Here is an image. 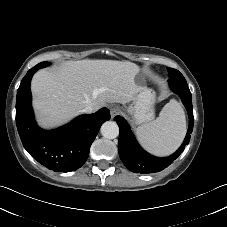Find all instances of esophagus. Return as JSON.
Masks as SVG:
<instances>
[{"label": "esophagus", "mask_w": 227, "mask_h": 227, "mask_svg": "<svg viewBox=\"0 0 227 227\" xmlns=\"http://www.w3.org/2000/svg\"><path fill=\"white\" fill-rule=\"evenodd\" d=\"M109 110H110L111 118H114V116H116L120 112V108L116 105L111 106Z\"/></svg>", "instance_id": "1"}]
</instances>
